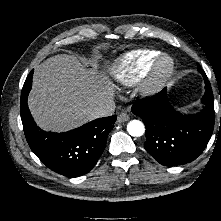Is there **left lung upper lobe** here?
<instances>
[{
	"mask_svg": "<svg viewBox=\"0 0 221 221\" xmlns=\"http://www.w3.org/2000/svg\"><path fill=\"white\" fill-rule=\"evenodd\" d=\"M197 66H198V70L201 69L200 66H199V64H197Z\"/></svg>",
	"mask_w": 221,
	"mask_h": 221,
	"instance_id": "obj_1",
	"label": "left lung upper lobe"
}]
</instances>
